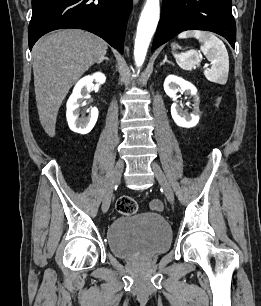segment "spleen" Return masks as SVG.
<instances>
[{"instance_id":"obj_1","label":"spleen","mask_w":261,"mask_h":306,"mask_svg":"<svg viewBox=\"0 0 261 306\" xmlns=\"http://www.w3.org/2000/svg\"><path fill=\"white\" fill-rule=\"evenodd\" d=\"M194 37L201 43L200 50L212 63L209 70L204 71L205 77L221 85L226 84L229 73V56L224 43L214 34L207 31L188 30L178 35L179 39ZM177 64L184 70L190 71L199 66V54L195 50L174 54Z\"/></svg>"}]
</instances>
